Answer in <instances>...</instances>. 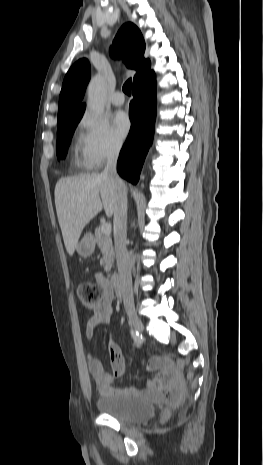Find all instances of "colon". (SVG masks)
I'll return each instance as SVG.
<instances>
[{
	"mask_svg": "<svg viewBox=\"0 0 263 465\" xmlns=\"http://www.w3.org/2000/svg\"><path fill=\"white\" fill-rule=\"evenodd\" d=\"M104 297V289L93 283H83L78 289V298L82 305L92 309L98 305Z\"/></svg>",
	"mask_w": 263,
	"mask_h": 465,
	"instance_id": "5ec220e1",
	"label": "colon"
}]
</instances>
